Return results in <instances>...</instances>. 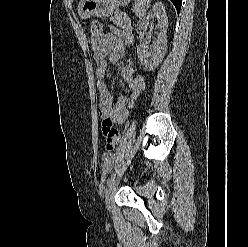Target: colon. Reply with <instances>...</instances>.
I'll return each instance as SVG.
<instances>
[{"label":"colon","mask_w":248,"mask_h":247,"mask_svg":"<svg viewBox=\"0 0 248 247\" xmlns=\"http://www.w3.org/2000/svg\"><path fill=\"white\" fill-rule=\"evenodd\" d=\"M91 31L94 35L102 34L101 23L99 21H93L91 23ZM144 89H145V80L141 75H139L134 79V81L130 87V91H129V94L127 96L126 103H125L124 108L120 114L119 124L125 122L130 109L135 105L137 100L140 98Z\"/></svg>","instance_id":"1"}]
</instances>
